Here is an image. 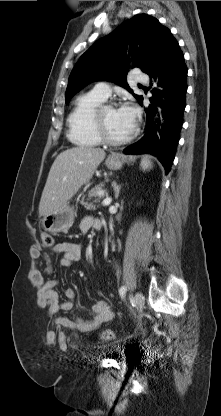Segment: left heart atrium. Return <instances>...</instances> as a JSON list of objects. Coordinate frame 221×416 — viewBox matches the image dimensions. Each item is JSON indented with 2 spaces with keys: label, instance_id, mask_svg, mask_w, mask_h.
<instances>
[{
  "label": "left heart atrium",
  "instance_id": "obj_1",
  "mask_svg": "<svg viewBox=\"0 0 221 416\" xmlns=\"http://www.w3.org/2000/svg\"><path fill=\"white\" fill-rule=\"evenodd\" d=\"M119 113L132 131L137 117V109L133 105H124L119 109Z\"/></svg>",
  "mask_w": 221,
  "mask_h": 416
}]
</instances>
